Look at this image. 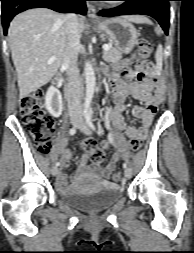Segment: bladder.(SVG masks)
Returning a JSON list of instances; mask_svg holds the SVG:
<instances>
[{"instance_id": "bladder-1", "label": "bladder", "mask_w": 194, "mask_h": 253, "mask_svg": "<svg viewBox=\"0 0 194 253\" xmlns=\"http://www.w3.org/2000/svg\"><path fill=\"white\" fill-rule=\"evenodd\" d=\"M122 190L115 185H104L90 191H70L61 195L68 205L86 212L104 210L122 198Z\"/></svg>"}]
</instances>
